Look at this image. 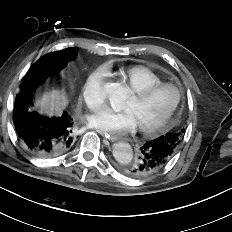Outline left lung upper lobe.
<instances>
[{"mask_svg": "<svg viewBox=\"0 0 232 232\" xmlns=\"http://www.w3.org/2000/svg\"><path fill=\"white\" fill-rule=\"evenodd\" d=\"M182 133H183V130H181V131H172V132H169V133H167L165 135H162V136L158 137L157 140L161 141L165 145L169 146L171 148V150L173 151V154H174L176 152V150L178 149V147L180 145V142L182 140ZM127 166H129V165H127ZM127 166H125L123 168V170H128Z\"/></svg>", "mask_w": 232, "mask_h": 232, "instance_id": "1", "label": "left lung upper lobe"}]
</instances>
